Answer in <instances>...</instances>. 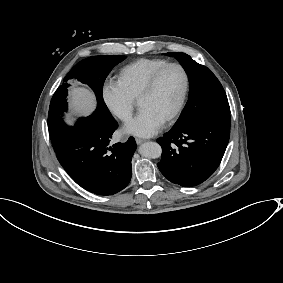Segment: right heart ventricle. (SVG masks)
<instances>
[{
	"label": "right heart ventricle",
	"mask_w": 283,
	"mask_h": 283,
	"mask_svg": "<svg viewBox=\"0 0 283 283\" xmlns=\"http://www.w3.org/2000/svg\"><path fill=\"white\" fill-rule=\"evenodd\" d=\"M168 63H170L168 59L161 57L137 59L119 70L118 80L129 96L136 100L148 78Z\"/></svg>",
	"instance_id": "e07e8e85"
}]
</instances>
